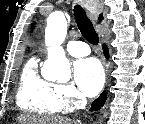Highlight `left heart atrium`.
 I'll list each match as a JSON object with an SVG mask.
<instances>
[{
	"label": "left heart atrium",
	"mask_w": 145,
	"mask_h": 124,
	"mask_svg": "<svg viewBox=\"0 0 145 124\" xmlns=\"http://www.w3.org/2000/svg\"><path fill=\"white\" fill-rule=\"evenodd\" d=\"M74 81L79 91L88 97L95 96L104 84V72L98 60H78L73 67Z\"/></svg>",
	"instance_id": "39dd6f15"
}]
</instances>
